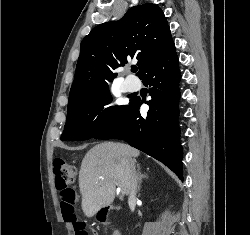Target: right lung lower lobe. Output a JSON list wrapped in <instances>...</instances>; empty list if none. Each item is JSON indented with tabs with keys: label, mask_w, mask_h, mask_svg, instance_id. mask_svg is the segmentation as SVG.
Returning <instances> with one entry per match:
<instances>
[{
	"label": "right lung lower lobe",
	"mask_w": 250,
	"mask_h": 235,
	"mask_svg": "<svg viewBox=\"0 0 250 235\" xmlns=\"http://www.w3.org/2000/svg\"><path fill=\"white\" fill-rule=\"evenodd\" d=\"M174 42L167 52L151 64L141 77L150 86L147 117L139 108L143 101L132 99L122 113L96 139H124L131 146L167 165L182 176V147L179 142L178 103L181 74Z\"/></svg>",
	"instance_id": "right-lung-lower-lobe-1"
}]
</instances>
